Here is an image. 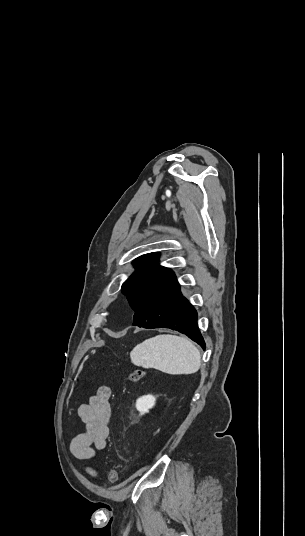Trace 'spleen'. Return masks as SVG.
Listing matches in <instances>:
<instances>
[{
	"label": "spleen",
	"mask_w": 305,
	"mask_h": 536,
	"mask_svg": "<svg viewBox=\"0 0 305 536\" xmlns=\"http://www.w3.org/2000/svg\"><path fill=\"white\" fill-rule=\"evenodd\" d=\"M132 364L165 374H195L201 366L199 350L188 338L161 334L138 344L130 352Z\"/></svg>",
	"instance_id": "spleen-1"
}]
</instances>
